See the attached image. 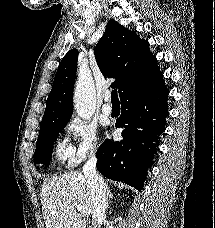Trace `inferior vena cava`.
I'll return each instance as SVG.
<instances>
[{"mask_svg":"<svg viewBox=\"0 0 215 228\" xmlns=\"http://www.w3.org/2000/svg\"><path fill=\"white\" fill-rule=\"evenodd\" d=\"M97 158L95 152H91L87 162H85L82 172L91 188L93 200L92 224L94 228H99L101 220L105 218L107 206L108 186L102 176L96 170Z\"/></svg>","mask_w":215,"mask_h":228,"instance_id":"inferior-vena-cava-1","label":"inferior vena cava"}]
</instances>
